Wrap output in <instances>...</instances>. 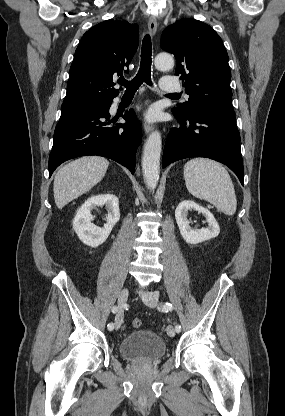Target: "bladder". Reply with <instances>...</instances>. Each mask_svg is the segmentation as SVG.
<instances>
[{
	"mask_svg": "<svg viewBox=\"0 0 285 416\" xmlns=\"http://www.w3.org/2000/svg\"><path fill=\"white\" fill-rule=\"evenodd\" d=\"M165 340L151 329L132 331L118 343L121 358L133 362H155L166 355Z\"/></svg>",
	"mask_w": 285,
	"mask_h": 416,
	"instance_id": "bladder-1",
	"label": "bladder"
}]
</instances>
